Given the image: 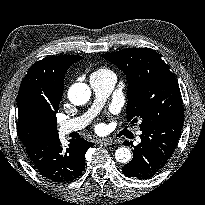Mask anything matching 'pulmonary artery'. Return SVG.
I'll list each match as a JSON object with an SVG mask.
<instances>
[{"instance_id": "pulmonary-artery-1", "label": "pulmonary artery", "mask_w": 205, "mask_h": 205, "mask_svg": "<svg viewBox=\"0 0 205 205\" xmlns=\"http://www.w3.org/2000/svg\"><path fill=\"white\" fill-rule=\"evenodd\" d=\"M116 75L112 72L92 74L90 76V86L95 94V101L92 107L82 116L63 121L59 124L61 134L78 131L85 127L93 116L105 103L116 84Z\"/></svg>"}]
</instances>
